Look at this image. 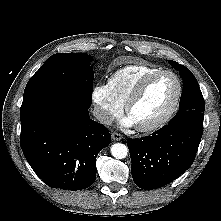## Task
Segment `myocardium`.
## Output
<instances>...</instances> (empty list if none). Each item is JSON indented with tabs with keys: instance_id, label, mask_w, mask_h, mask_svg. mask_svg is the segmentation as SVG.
<instances>
[{
	"instance_id": "obj_1",
	"label": "myocardium",
	"mask_w": 221,
	"mask_h": 221,
	"mask_svg": "<svg viewBox=\"0 0 221 221\" xmlns=\"http://www.w3.org/2000/svg\"><path fill=\"white\" fill-rule=\"evenodd\" d=\"M161 75H170L175 79L176 85H177L175 97H174L171 105L169 106V108L158 119H156L155 121H153L149 124L135 125L136 129L140 132H151V131L157 130V129L161 128L162 126H164L172 118V116L176 112L178 105L180 103V100L182 97V92H183V86H182V82H181L179 76L171 70L160 69L158 71H155V72H152V73L146 75L145 77H143L139 81V83L136 85V87L134 88L133 92L130 94V96L128 97V99L124 105L126 114L129 115L131 108L142 96L147 85L154 78L161 76Z\"/></svg>"
}]
</instances>
